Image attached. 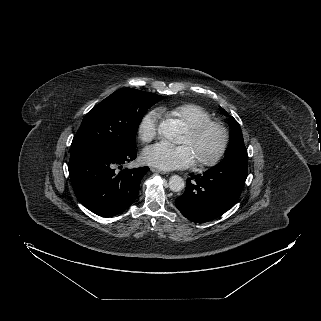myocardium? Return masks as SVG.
I'll return each mask as SVG.
<instances>
[{"label": "myocardium", "instance_id": "1", "mask_svg": "<svg viewBox=\"0 0 321 321\" xmlns=\"http://www.w3.org/2000/svg\"><path fill=\"white\" fill-rule=\"evenodd\" d=\"M210 128H216L220 133L218 148L210 157L195 160L194 167L196 168H205L216 165L223 158L228 149L230 142L229 130L226 125L219 120L209 119L194 126L187 127L186 131L192 139H197Z\"/></svg>", "mask_w": 321, "mask_h": 321}]
</instances>
